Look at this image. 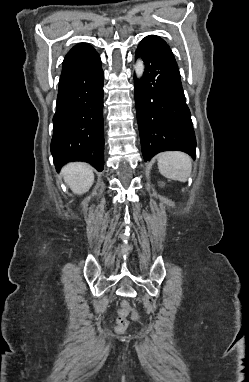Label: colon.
Here are the masks:
<instances>
[{
    "label": "colon",
    "mask_w": 249,
    "mask_h": 382,
    "mask_svg": "<svg viewBox=\"0 0 249 382\" xmlns=\"http://www.w3.org/2000/svg\"><path fill=\"white\" fill-rule=\"evenodd\" d=\"M122 309L118 313L117 321H116V330L118 332L124 331L128 327L127 315L129 314L131 307L128 302H122ZM134 319H138L136 314H133Z\"/></svg>",
    "instance_id": "obj_1"
}]
</instances>
